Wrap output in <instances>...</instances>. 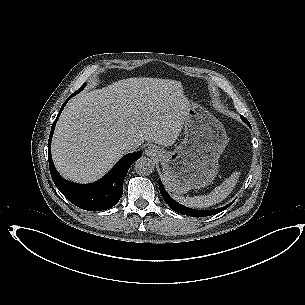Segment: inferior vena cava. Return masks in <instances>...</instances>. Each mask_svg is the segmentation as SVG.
I'll use <instances>...</instances> for the list:
<instances>
[{"mask_svg":"<svg viewBox=\"0 0 305 305\" xmlns=\"http://www.w3.org/2000/svg\"><path fill=\"white\" fill-rule=\"evenodd\" d=\"M140 145L141 144L137 141L128 140L124 143L123 149L127 152H134L139 148Z\"/></svg>","mask_w":305,"mask_h":305,"instance_id":"obj_1","label":"inferior vena cava"}]
</instances>
